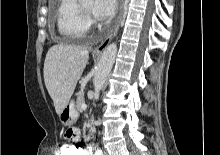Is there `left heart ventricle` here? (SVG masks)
<instances>
[{
	"mask_svg": "<svg viewBox=\"0 0 220 155\" xmlns=\"http://www.w3.org/2000/svg\"><path fill=\"white\" fill-rule=\"evenodd\" d=\"M80 3H81V5L83 6L84 9L91 12L92 7H93V1L92 0H83Z\"/></svg>",
	"mask_w": 220,
	"mask_h": 155,
	"instance_id": "left-heart-ventricle-1",
	"label": "left heart ventricle"
}]
</instances>
